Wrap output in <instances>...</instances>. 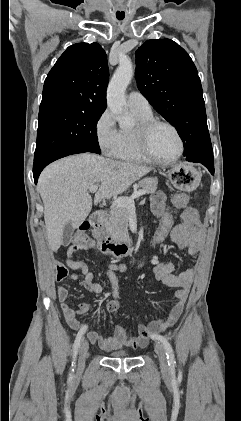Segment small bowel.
<instances>
[{"label": "small bowel", "mask_w": 241, "mask_h": 421, "mask_svg": "<svg viewBox=\"0 0 241 421\" xmlns=\"http://www.w3.org/2000/svg\"><path fill=\"white\" fill-rule=\"evenodd\" d=\"M151 208L153 213L159 218L167 213L174 214V211L167 207L166 194L162 191L157 192L152 196ZM179 217L180 221L174 224L171 229L170 238L178 249L187 250L190 255H195L199 251L203 240V231L198 212L193 207H186L180 212ZM89 247L90 246L88 245H83L78 247V249H74L70 246L66 251V264L69 268L81 272V284L89 292L99 294L102 291V287L94 281V274L89 269L88 265L82 261H75L72 259L74 254L78 251L86 250ZM145 262L146 257H141L134 265V268L141 267ZM153 264L156 278L165 285L177 289L175 292V301L173 302L168 315L166 318L153 321L149 325H139L137 334L130 333L121 325H114L113 334L107 337L101 336L96 331L88 332L87 335L89 340L92 343L98 344L102 350L111 351L121 347L143 348L148 344L150 339L156 337L159 332L171 327L179 319L193 282L194 271L188 269L181 273H175V266L171 262L155 261ZM127 269L128 267L125 264H111L106 271L107 278L112 287V299L106 304V310L109 314H114L121 308L119 300L120 287L115 272H125ZM78 278L77 275L72 276V279ZM57 296L68 325L73 330H80L84 325L81 324L78 316L89 312L91 305L83 303L80 304L76 310L73 309L66 302L68 289L65 285L59 287Z\"/></svg>", "instance_id": "small-bowel-1"}]
</instances>
